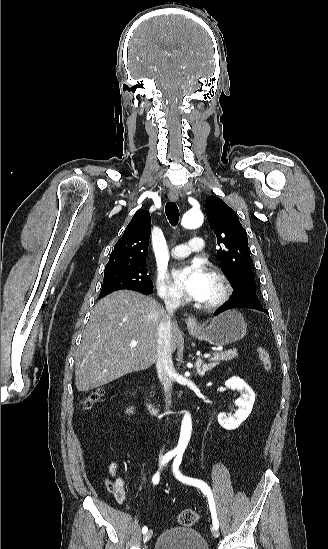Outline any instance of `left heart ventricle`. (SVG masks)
Returning <instances> with one entry per match:
<instances>
[{
    "label": "left heart ventricle",
    "instance_id": "obj_1",
    "mask_svg": "<svg viewBox=\"0 0 328 549\" xmlns=\"http://www.w3.org/2000/svg\"><path fill=\"white\" fill-rule=\"evenodd\" d=\"M199 266H201L202 268H204L206 270H207V268H209L206 265H199ZM219 292H220L219 282L213 276L210 275L209 283H208V287H207L205 296L203 297V299L201 301L206 302V301L213 300L218 296Z\"/></svg>",
    "mask_w": 328,
    "mask_h": 549
}]
</instances>
